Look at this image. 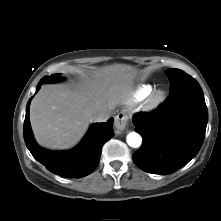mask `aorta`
Masks as SVG:
<instances>
[{
    "mask_svg": "<svg viewBox=\"0 0 221 221\" xmlns=\"http://www.w3.org/2000/svg\"><path fill=\"white\" fill-rule=\"evenodd\" d=\"M126 141L130 147L138 148L142 144V137L136 132H131L127 135Z\"/></svg>",
    "mask_w": 221,
    "mask_h": 221,
    "instance_id": "762f6f07",
    "label": "aorta"
}]
</instances>
